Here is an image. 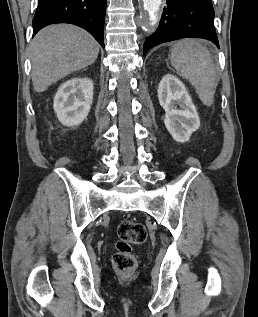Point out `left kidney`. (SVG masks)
Returning <instances> with one entry per match:
<instances>
[{
  "label": "left kidney",
  "mask_w": 258,
  "mask_h": 317,
  "mask_svg": "<svg viewBox=\"0 0 258 317\" xmlns=\"http://www.w3.org/2000/svg\"><path fill=\"white\" fill-rule=\"evenodd\" d=\"M158 100L166 114L165 126L177 142L189 140L200 126L198 112L183 82L174 74L162 76L158 86ZM175 104H179L180 110Z\"/></svg>",
  "instance_id": "left-kidney-1"
}]
</instances>
